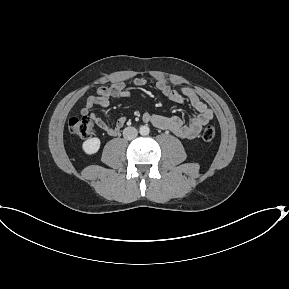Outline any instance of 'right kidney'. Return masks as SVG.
Wrapping results in <instances>:
<instances>
[{"instance_id": "1", "label": "right kidney", "mask_w": 289, "mask_h": 289, "mask_svg": "<svg viewBox=\"0 0 289 289\" xmlns=\"http://www.w3.org/2000/svg\"><path fill=\"white\" fill-rule=\"evenodd\" d=\"M100 144L101 141L99 138H90L83 142L82 149L86 154L92 155L98 152Z\"/></svg>"}]
</instances>
